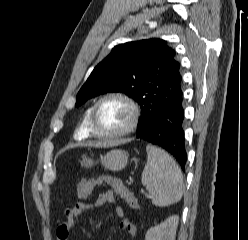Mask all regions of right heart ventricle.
Listing matches in <instances>:
<instances>
[{"label":"right heart ventricle","mask_w":248,"mask_h":240,"mask_svg":"<svg viewBox=\"0 0 248 240\" xmlns=\"http://www.w3.org/2000/svg\"><path fill=\"white\" fill-rule=\"evenodd\" d=\"M91 110L92 106L86 108L82 115L81 121L74 132V137L78 140L87 139L91 135L89 127Z\"/></svg>","instance_id":"e07e8e85"}]
</instances>
